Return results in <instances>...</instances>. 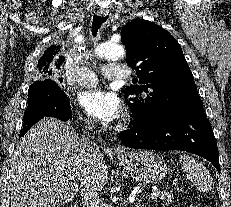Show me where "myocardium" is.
<instances>
[{"label": "myocardium", "instance_id": "myocardium-1", "mask_svg": "<svg viewBox=\"0 0 231 207\" xmlns=\"http://www.w3.org/2000/svg\"><path fill=\"white\" fill-rule=\"evenodd\" d=\"M127 125V121L122 122L119 127H125Z\"/></svg>", "mask_w": 231, "mask_h": 207}]
</instances>
